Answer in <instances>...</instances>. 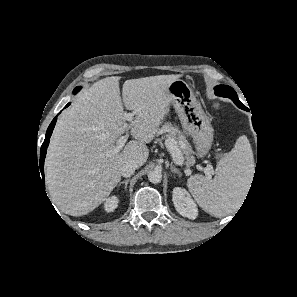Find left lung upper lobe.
<instances>
[{
  "mask_svg": "<svg viewBox=\"0 0 297 297\" xmlns=\"http://www.w3.org/2000/svg\"><path fill=\"white\" fill-rule=\"evenodd\" d=\"M215 94L221 97L230 98L234 103H241L238 99L237 93L233 88L226 85H219L215 87ZM242 104V103H241Z\"/></svg>",
  "mask_w": 297,
  "mask_h": 297,
  "instance_id": "obj_1",
  "label": "left lung upper lobe"
}]
</instances>
